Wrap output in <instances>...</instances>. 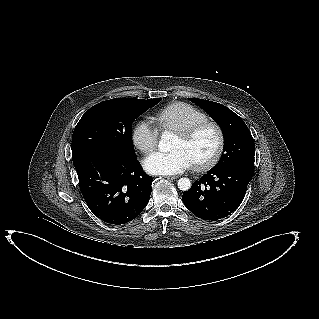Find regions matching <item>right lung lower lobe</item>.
Returning a JSON list of instances; mask_svg holds the SVG:
<instances>
[{
  "label": "right lung lower lobe",
  "mask_w": 319,
  "mask_h": 319,
  "mask_svg": "<svg viewBox=\"0 0 319 319\" xmlns=\"http://www.w3.org/2000/svg\"><path fill=\"white\" fill-rule=\"evenodd\" d=\"M73 164L89 209L102 221L125 224L146 207L153 179L142 171L136 156L124 158L99 149L78 155Z\"/></svg>",
  "instance_id": "1"
}]
</instances>
